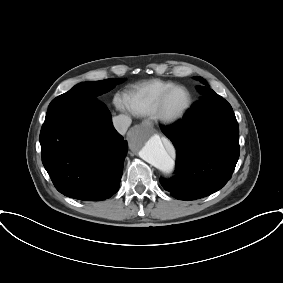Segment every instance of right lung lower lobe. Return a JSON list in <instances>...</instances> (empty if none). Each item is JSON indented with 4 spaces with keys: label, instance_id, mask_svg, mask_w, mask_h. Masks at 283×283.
<instances>
[{
    "label": "right lung lower lobe",
    "instance_id": "1",
    "mask_svg": "<svg viewBox=\"0 0 283 283\" xmlns=\"http://www.w3.org/2000/svg\"><path fill=\"white\" fill-rule=\"evenodd\" d=\"M39 140L43 165L60 193L100 201L118 191L127 142L113 128L103 103L47 112Z\"/></svg>",
    "mask_w": 283,
    "mask_h": 283
}]
</instances>
